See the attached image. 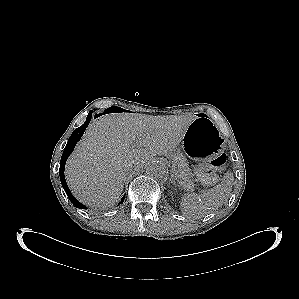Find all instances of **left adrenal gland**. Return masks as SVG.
Returning <instances> with one entry per match:
<instances>
[{
	"mask_svg": "<svg viewBox=\"0 0 299 299\" xmlns=\"http://www.w3.org/2000/svg\"><path fill=\"white\" fill-rule=\"evenodd\" d=\"M175 178H176V176L174 175V173L171 174L170 180H171L172 183H175Z\"/></svg>",
	"mask_w": 299,
	"mask_h": 299,
	"instance_id": "a2214340",
	"label": "left adrenal gland"
}]
</instances>
